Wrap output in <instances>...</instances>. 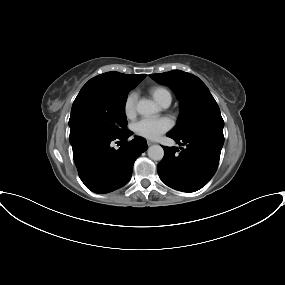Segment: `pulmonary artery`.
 <instances>
[{"instance_id": "obj_1", "label": "pulmonary artery", "mask_w": 285, "mask_h": 285, "mask_svg": "<svg viewBox=\"0 0 285 285\" xmlns=\"http://www.w3.org/2000/svg\"><path fill=\"white\" fill-rule=\"evenodd\" d=\"M170 103H171V101L167 100V101H164V102L161 104V106H162L163 108H167V107L170 105Z\"/></svg>"}]
</instances>
